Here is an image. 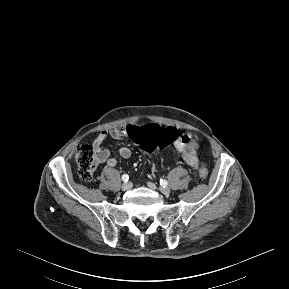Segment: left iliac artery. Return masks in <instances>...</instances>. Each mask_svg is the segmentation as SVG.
I'll list each match as a JSON object with an SVG mask.
<instances>
[{
	"instance_id": "obj_1",
	"label": "left iliac artery",
	"mask_w": 289,
	"mask_h": 289,
	"mask_svg": "<svg viewBox=\"0 0 289 289\" xmlns=\"http://www.w3.org/2000/svg\"><path fill=\"white\" fill-rule=\"evenodd\" d=\"M160 184L163 186V187H166L168 185V182L165 180V179H161L160 180Z\"/></svg>"
}]
</instances>
